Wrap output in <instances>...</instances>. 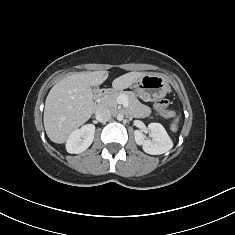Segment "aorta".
<instances>
[{
  "instance_id": "obj_1",
  "label": "aorta",
  "mask_w": 235,
  "mask_h": 235,
  "mask_svg": "<svg viewBox=\"0 0 235 235\" xmlns=\"http://www.w3.org/2000/svg\"><path fill=\"white\" fill-rule=\"evenodd\" d=\"M123 118H124L123 114H118V115H117V120H118V121H122Z\"/></svg>"
}]
</instances>
